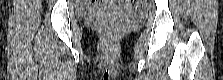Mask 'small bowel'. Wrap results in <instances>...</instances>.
Masks as SVG:
<instances>
[{
	"label": "small bowel",
	"instance_id": "1",
	"mask_svg": "<svg viewBox=\"0 0 223 80\" xmlns=\"http://www.w3.org/2000/svg\"><path fill=\"white\" fill-rule=\"evenodd\" d=\"M86 8L88 10H93V9L96 8V4L94 2H89V3L86 4Z\"/></svg>",
	"mask_w": 223,
	"mask_h": 80
}]
</instances>
